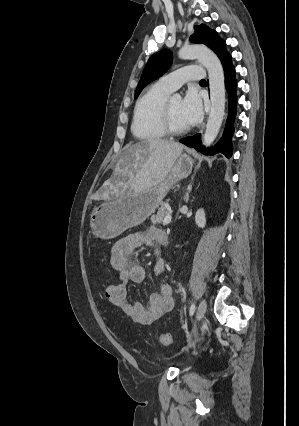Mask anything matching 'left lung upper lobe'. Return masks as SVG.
<instances>
[{
  "label": "left lung upper lobe",
  "mask_w": 299,
  "mask_h": 426,
  "mask_svg": "<svg viewBox=\"0 0 299 426\" xmlns=\"http://www.w3.org/2000/svg\"><path fill=\"white\" fill-rule=\"evenodd\" d=\"M194 29L195 32L190 36L191 42L204 44L211 48L216 54L225 49L226 44L218 37L216 31L204 24L196 25ZM171 63L172 54L170 50L163 49L153 54L143 70L135 92V97L139 95L148 83L164 74L169 69Z\"/></svg>",
  "instance_id": "5c2ea615"
}]
</instances>
